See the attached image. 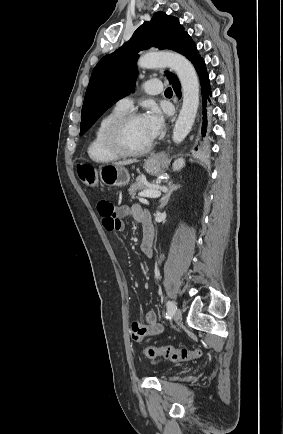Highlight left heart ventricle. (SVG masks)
Listing matches in <instances>:
<instances>
[{
  "mask_svg": "<svg viewBox=\"0 0 283 434\" xmlns=\"http://www.w3.org/2000/svg\"><path fill=\"white\" fill-rule=\"evenodd\" d=\"M125 143L132 149H140L151 142L143 126L142 117L133 120L124 132Z\"/></svg>",
  "mask_w": 283,
  "mask_h": 434,
  "instance_id": "left-heart-ventricle-1",
  "label": "left heart ventricle"
}]
</instances>
